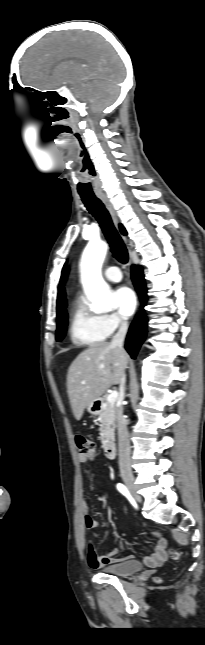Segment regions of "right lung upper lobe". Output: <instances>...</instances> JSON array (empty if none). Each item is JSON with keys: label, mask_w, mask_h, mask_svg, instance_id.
<instances>
[{"label": "right lung upper lobe", "mask_w": 205, "mask_h": 645, "mask_svg": "<svg viewBox=\"0 0 205 645\" xmlns=\"http://www.w3.org/2000/svg\"><path fill=\"white\" fill-rule=\"evenodd\" d=\"M120 230L122 234L126 235V231L123 226L120 225ZM64 269L62 271V276H61V281L58 287V297H57V318L60 317L61 313L65 310L66 307V299H65V291L63 288V276H64Z\"/></svg>", "instance_id": "right-lung-upper-lobe-1"}]
</instances>
